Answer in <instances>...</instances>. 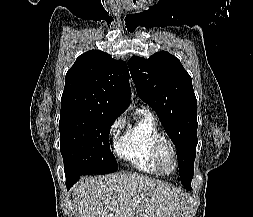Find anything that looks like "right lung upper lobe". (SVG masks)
<instances>
[{
	"label": "right lung upper lobe",
	"instance_id": "cb5924a9",
	"mask_svg": "<svg viewBox=\"0 0 253 217\" xmlns=\"http://www.w3.org/2000/svg\"><path fill=\"white\" fill-rule=\"evenodd\" d=\"M130 96L126 63L91 50L80 55L68 70L61 110L81 109L118 117L129 106Z\"/></svg>",
	"mask_w": 253,
	"mask_h": 217
}]
</instances>
